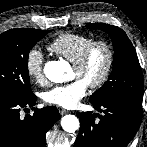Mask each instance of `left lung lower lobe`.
<instances>
[{
    "label": "left lung lower lobe",
    "instance_id": "0a47b994",
    "mask_svg": "<svg viewBox=\"0 0 147 147\" xmlns=\"http://www.w3.org/2000/svg\"><path fill=\"white\" fill-rule=\"evenodd\" d=\"M92 104L104 115L91 111L77 114L80 130L74 147H126L140 127L142 107L128 101Z\"/></svg>",
    "mask_w": 147,
    "mask_h": 147
}]
</instances>
